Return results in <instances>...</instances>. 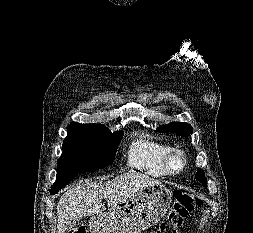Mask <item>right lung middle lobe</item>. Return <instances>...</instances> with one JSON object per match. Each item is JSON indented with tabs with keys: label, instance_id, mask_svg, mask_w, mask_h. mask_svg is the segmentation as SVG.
<instances>
[{
	"label": "right lung middle lobe",
	"instance_id": "1",
	"mask_svg": "<svg viewBox=\"0 0 253 233\" xmlns=\"http://www.w3.org/2000/svg\"><path fill=\"white\" fill-rule=\"evenodd\" d=\"M57 162L56 181L113 163L123 131L111 133L103 125L72 122Z\"/></svg>",
	"mask_w": 253,
	"mask_h": 233
}]
</instances>
